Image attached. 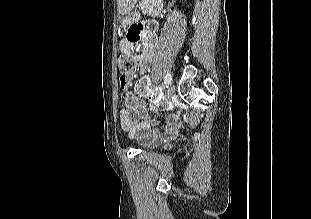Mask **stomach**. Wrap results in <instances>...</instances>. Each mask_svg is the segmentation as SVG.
I'll return each instance as SVG.
<instances>
[{
    "mask_svg": "<svg viewBox=\"0 0 311 219\" xmlns=\"http://www.w3.org/2000/svg\"><path fill=\"white\" fill-rule=\"evenodd\" d=\"M135 2H136V0H132L131 3H130L131 7H130L129 11L124 13V14H122L121 21H122V24L125 25V26H128L131 23H133L137 19V17H138L137 13L132 12V8H133Z\"/></svg>",
    "mask_w": 311,
    "mask_h": 219,
    "instance_id": "0dacf381",
    "label": "stomach"
}]
</instances>
